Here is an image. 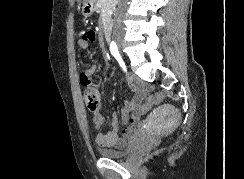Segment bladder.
I'll list each match as a JSON object with an SVG mask.
<instances>
[{
    "instance_id": "bladder-1",
    "label": "bladder",
    "mask_w": 244,
    "mask_h": 179,
    "mask_svg": "<svg viewBox=\"0 0 244 179\" xmlns=\"http://www.w3.org/2000/svg\"><path fill=\"white\" fill-rule=\"evenodd\" d=\"M99 155L106 157V158H119L126 155L127 151H117L112 149H99Z\"/></svg>"
}]
</instances>
